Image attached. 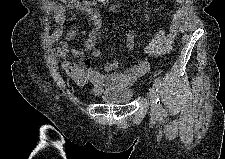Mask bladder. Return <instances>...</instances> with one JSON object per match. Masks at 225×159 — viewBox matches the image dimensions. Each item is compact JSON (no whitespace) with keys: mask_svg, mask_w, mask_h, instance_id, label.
<instances>
[{"mask_svg":"<svg viewBox=\"0 0 225 159\" xmlns=\"http://www.w3.org/2000/svg\"><path fill=\"white\" fill-rule=\"evenodd\" d=\"M133 90L124 86H112L101 93V100L108 104H128L133 99Z\"/></svg>","mask_w":225,"mask_h":159,"instance_id":"obj_1","label":"bladder"}]
</instances>
